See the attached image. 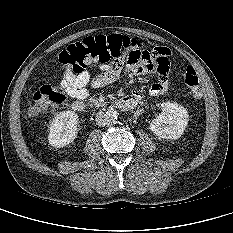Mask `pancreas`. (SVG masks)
Wrapping results in <instances>:
<instances>
[{
  "label": "pancreas",
  "instance_id": "obj_1",
  "mask_svg": "<svg viewBox=\"0 0 233 233\" xmlns=\"http://www.w3.org/2000/svg\"><path fill=\"white\" fill-rule=\"evenodd\" d=\"M90 102L92 103V104H94L95 106H97V107H100V106H104L106 103L105 102H102V101H100L98 98H96V97H91L90 98Z\"/></svg>",
  "mask_w": 233,
  "mask_h": 233
}]
</instances>
